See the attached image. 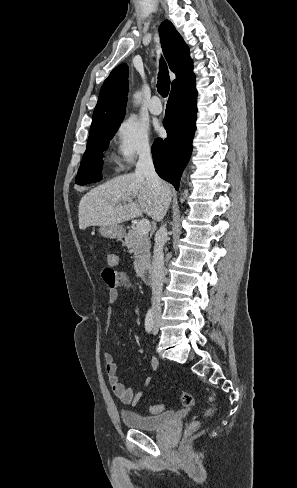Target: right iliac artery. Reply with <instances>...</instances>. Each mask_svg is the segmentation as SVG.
<instances>
[{
	"instance_id": "right-iliac-artery-1",
	"label": "right iliac artery",
	"mask_w": 297,
	"mask_h": 488,
	"mask_svg": "<svg viewBox=\"0 0 297 488\" xmlns=\"http://www.w3.org/2000/svg\"><path fill=\"white\" fill-rule=\"evenodd\" d=\"M152 328H153V311L150 309L146 314L145 329L148 333H150Z\"/></svg>"
}]
</instances>
